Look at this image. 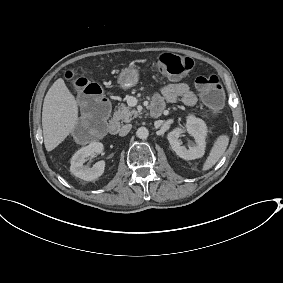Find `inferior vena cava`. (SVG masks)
Listing matches in <instances>:
<instances>
[{
    "label": "inferior vena cava",
    "instance_id": "inferior-vena-cava-1",
    "mask_svg": "<svg viewBox=\"0 0 283 283\" xmlns=\"http://www.w3.org/2000/svg\"><path fill=\"white\" fill-rule=\"evenodd\" d=\"M131 128H132V125L131 124H126V125H124L122 128H121V130L119 131V136H126L129 132H130V130H131Z\"/></svg>",
    "mask_w": 283,
    "mask_h": 283
}]
</instances>
